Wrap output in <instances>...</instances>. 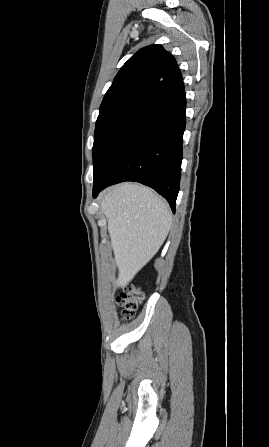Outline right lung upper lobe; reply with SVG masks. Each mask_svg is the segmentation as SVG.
Segmentation results:
<instances>
[{
	"label": "right lung upper lobe",
	"mask_w": 269,
	"mask_h": 447,
	"mask_svg": "<svg viewBox=\"0 0 269 447\" xmlns=\"http://www.w3.org/2000/svg\"><path fill=\"white\" fill-rule=\"evenodd\" d=\"M182 81L174 57L161 45L139 50L121 68L100 106L99 115L125 108H143L163 90Z\"/></svg>",
	"instance_id": "obj_1"
}]
</instances>
